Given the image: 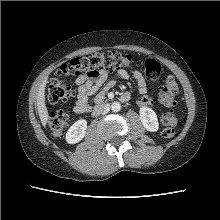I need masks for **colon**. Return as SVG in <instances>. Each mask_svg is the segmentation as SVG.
Returning <instances> with one entry per match:
<instances>
[{"label": "colon", "mask_w": 220, "mask_h": 220, "mask_svg": "<svg viewBox=\"0 0 220 220\" xmlns=\"http://www.w3.org/2000/svg\"><path fill=\"white\" fill-rule=\"evenodd\" d=\"M131 62L130 56L117 51L97 52L76 57L69 64L60 66L51 78L48 86V101L57 104L71 99L74 96V90L69 84V80L80 72L95 75L97 70L128 68L131 66ZM143 71L150 79H156L161 72V66L156 60L147 59L143 63ZM177 93L178 84L175 78L168 76L158 95L159 102L168 108L161 115V122L164 126L161 132L163 139H169L175 133L178 118L172 107L175 104ZM68 124L69 117L62 110L52 112L49 116V126L55 137L61 136Z\"/></svg>", "instance_id": "colon-1"}]
</instances>
